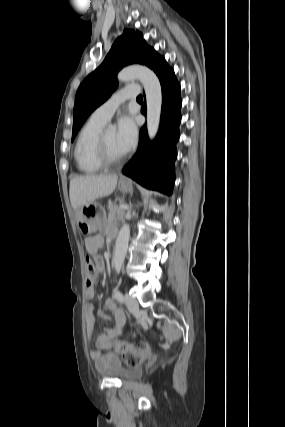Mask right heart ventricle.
Returning <instances> with one entry per match:
<instances>
[{"mask_svg": "<svg viewBox=\"0 0 285 427\" xmlns=\"http://www.w3.org/2000/svg\"><path fill=\"white\" fill-rule=\"evenodd\" d=\"M104 124L91 117L78 134L73 154L76 167L81 173L96 174L103 168L96 158L95 147Z\"/></svg>", "mask_w": 285, "mask_h": 427, "instance_id": "1", "label": "right heart ventricle"}]
</instances>
